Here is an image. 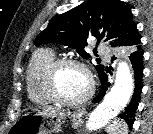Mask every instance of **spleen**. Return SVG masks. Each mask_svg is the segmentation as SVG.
I'll list each match as a JSON object with an SVG mask.
<instances>
[{
    "mask_svg": "<svg viewBox=\"0 0 153 134\" xmlns=\"http://www.w3.org/2000/svg\"><path fill=\"white\" fill-rule=\"evenodd\" d=\"M109 134H128V127L123 121H114L107 127Z\"/></svg>",
    "mask_w": 153,
    "mask_h": 134,
    "instance_id": "obj_1",
    "label": "spleen"
}]
</instances>
